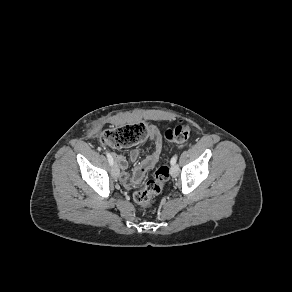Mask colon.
<instances>
[{"label":"colon","mask_w":292,"mask_h":292,"mask_svg":"<svg viewBox=\"0 0 292 292\" xmlns=\"http://www.w3.org/2000/svg\"><path fill=\"white\" fill-rule=\"evenodd\" d=\"M154 134L155 129L152 126L139 122L106 129L101 133L99 142L103 145L120 148L151 138ZM164 136L169 142L183 143L190 136V127L186 123L179 122L174 127L167 128ZM168 177L169 168L166 164H162L154 170L152 178L146 182L144 187L134 193V201L142 207H151L153 198L162 191Z\"/></svg>","instance_id":"5ec220e1"}]
</instances>
